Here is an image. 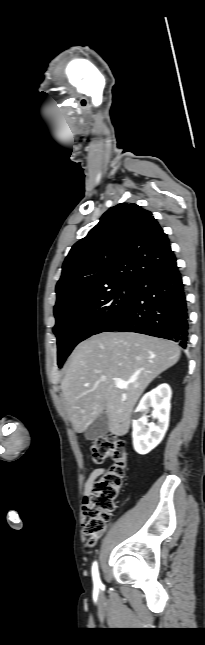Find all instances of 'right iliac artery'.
<instances>
[{
	"label": "right iliac artery",
	"instance_id": "obj_1",
	"mask_svg": "<svg viewBox=\"0 0 205 645\" xmlns=\"http://www.w3.org/2000/svg\"><path fill=\"white\" fill-rule=\"evenodd\" d=\"M92 577H93V582L95 587H99L101 585V581H100L98 565L96 561L92 565Z\"/></svg>",
	"mask_w": 205,
	"mask_h": 645
}]
</instances>
